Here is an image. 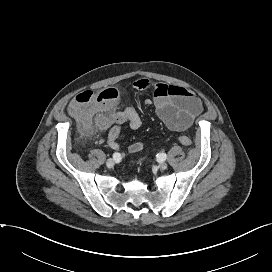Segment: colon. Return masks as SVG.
Returning a JSON list of instances; mask_svg holds the SVG:
<instances>
[{
  "instance_id": "5ec220e1",
  "label": "colon",
  "mask_w": 272,
  "mask_h": 272,
  "mask_svg": "<svg viewBox=\"0 0 272 272\" xmlns=\"http://www.w3.org/2000/svg\"><path fill=\"white\" fill-rule=\"evenodd\" d=\"M117 97V91L113 88L83 91L72 99L68 111L78 121L82 132L89 135L113 114ZM178 141L184 146L192 144V140L185 135L179 136Z\"/></svg>"
}]
</instances>
